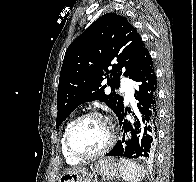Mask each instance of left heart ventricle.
I'll return each mask as SVG.
<instances>
[{
    "label": "left heart ventricle",
    "instance_id": "1",
    "mask_svg": "<svg viewBox=\"0 0 196 182\" xmlns=\"http://www.w3.org/2000/svg\"><path fill=\"white\" fill-rule=\"evenodd\" d=\"M107 139V128L98 118H88L81 121L73 130L71 145L82 154H92L100 150Z\"/></svg>",
    "mask_w": 196,
    "mask_h": 182
}]
</instances>
